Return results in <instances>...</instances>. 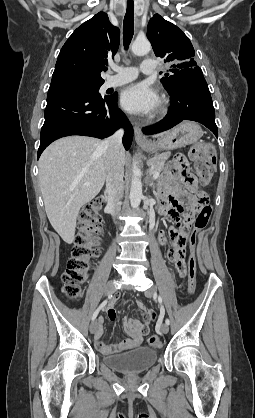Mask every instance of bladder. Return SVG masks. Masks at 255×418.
<instances>
[{
    "mask_svg": "<svg viewBox=\"0 0 255 418\" xmlns=\"http://www.w3.org/2000/svg\"><path fill=\"white\" fill-rule=\"evenodd\" d=\"M158 360V352L155 349L138 346L127 352L106 355L103 362L123 373H139L149 369Z\"/></svg>",
    "mask_w": 255,
    "mask_h": 418,
    "instance_id": "obj_1",
    "label": "bladder"
}]
</instances>
